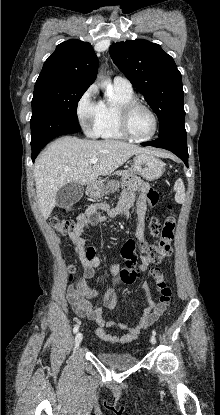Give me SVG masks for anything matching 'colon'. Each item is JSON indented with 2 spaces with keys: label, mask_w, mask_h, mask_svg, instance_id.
<instances>
[{
  "label": "colon",
  "mask_w": 220,
  "mask_h": 415,
  "mask_svg": "<svg viewBox=\"0 0 220 415\" xmlns=\"http://www.w3.org/2000/svg\"><path fill=\"white\" fill-rule=\"evenodd\" d=\"M159 194L154 189L147 192L148 201L154 205L157 203ZM67 210L52 216L50 224L52 228L62 235H69L74 230L73 221L66 216ZM176 228V219L169 208V213L163 223H158L152 219L149 223L150 233L158 238L154 244H145L144 254L154 266L160 264L165 258L172 253V243L174 240ZM121 255L124 259V267L120 273L121 281L125 284H132L137 279L136 262L138 259L137 245L133 239H128L122 246ZM157 269V268H153ZM73 271V270H71ZM155 280V286L158 292V301L156 302L155 311L164 313L171 304L172 290L163 280L160 271H151Z\"/></svg>",
  "instance_id": "obj_1"
}]
</instances>
